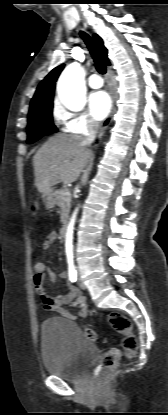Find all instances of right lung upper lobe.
<instances>
[{"instance_id": "right-lung-upper-lobe-1", "label": "right lung upper lobe", "mask_w": 168, "mask_h": 415, "mask_svg": "<svg viewBox=\"0 0 168 415\" xmlns=\"http://www.w3.org/2000/svg\"><path fill=\"white\" fill-rule=\"evenodd\" d=\"M93 38L102 56L104 57L105 62L110 65L107 57V49L103 45L102 39L97 34H94ZM63 68L64 64L57 66L41 81L37 87L34 97L32 98L30 111L51 104L53 102L55 82Z\"/></svg>"}]
</instances>
